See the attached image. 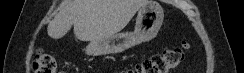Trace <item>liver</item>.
Here are the masks:
<instances>
[{
  "label": "liver",
  "mask_w": 244,
  "mask_h": 73,
  "mask_svg": "<svg viewBox=\"0 0 244 73\" xmlns=\"http://www.w3.org/2000/svg\"><path fill=\"white\" fill-rule=\"evenodd\" d=\"M148 0H69L47 27L60 39L74 26L81 41H100L121 31Z\"/></svg>",
  "instance_id": "obj_1"
}]
</instances>
